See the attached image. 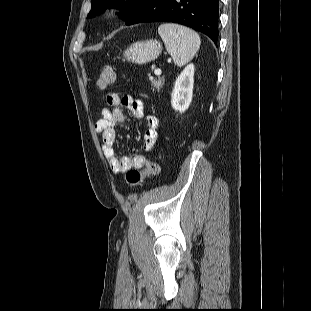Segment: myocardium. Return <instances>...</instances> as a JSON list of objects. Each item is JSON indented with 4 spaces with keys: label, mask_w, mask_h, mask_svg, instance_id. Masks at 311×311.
<instances>
[{
    "label": "myocardium",
    "mask_w": 311,
    "mask_h": 311,
    "mask_svg": "<svg viewBox=\"0 0 311 311\" xmlns=\"http://www.w3.org/2000/svg\"><path fill=\"white\" fill-rule=\"evenodd\" d=\"M120 10L117 8H111L108 11V16L109 17H116L119 14Z\"/></svg>",
    "instance_id": "myocardium-1"
}]
</instances>
